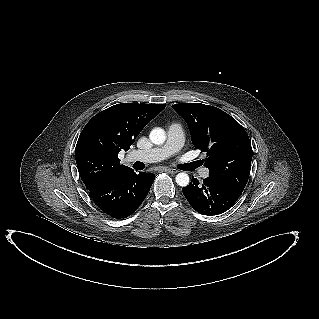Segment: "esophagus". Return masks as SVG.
<instances>
[{
  "label": "esophagus",
  "mask_w": 319,
  "mask_h": 319,
  "mask_svg": "<svg viewBox=\"0 0 319 319\" xmlns=\"http://www.w3.org/2000/svg\"><path fill=\"white\" fill-rule=\"evenodd\" d=\"M165 172L170 173V174H176V173H178V170L173 169V168H167V169H165Z\"/></svg>",
  "instance_id": "obj_1"
}]
</instances>
